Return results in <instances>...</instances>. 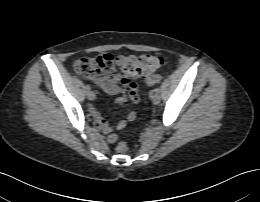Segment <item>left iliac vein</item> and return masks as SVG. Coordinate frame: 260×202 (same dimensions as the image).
I'll list each match as a JSON object with an SVG mask.
<instances>
[{"mask_svg":"<svg viewBox=\"0 0 260 202\" xmlns=\"http://www.w3.org/2000/svg\"><path fill=\"white\" fill-rule=\"evenodd\" d=\"M151 99H152V102H153L155 105L159 104V103H160V100H161L159 93H156V92H153V93H152Z\"/></svg>","mask_w":260,"mask_h":202,"instance_id":"left-iliac-vein-1","label":"left iliac vein"}]
</instances>
